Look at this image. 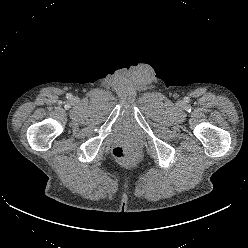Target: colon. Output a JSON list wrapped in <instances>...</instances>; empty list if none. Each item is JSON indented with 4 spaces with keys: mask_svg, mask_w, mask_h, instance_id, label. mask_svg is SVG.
I'll return each mask as SVG.
<instances>
[{
    "mask_svg": "<svg viewBox=\"0 0 248 248\" xmlns=\"http://www.w3.org/2000/svg\"><path fill=\"white\" fill-rule=\"evenodd\" d=\"M115 160L123 166H133L138 161V154L132 147L120 146L113 151Z\"/></svg>",
    "mask_w": 248,
    "mask_h": 248,
    "instance_id": "colon-1",
    "label": "colon"
}]
</instances>
